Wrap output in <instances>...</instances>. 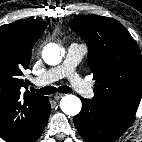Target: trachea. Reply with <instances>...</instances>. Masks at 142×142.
Wrapping results in <instances>:
<instances>
[{
    "label": "trachea",
    "instance_id": "obj_1",
    "mask_svg": "<svg viewBox=\"0 0 142 142\" xmlns=\"http://www.w3.org/2000/svg\"><path fill=\"white\" fill-rule=\"evenodd\" d=\"M30 90L37 92L39 94H44V95L53 94L57 90L60 93H71L72 92V89L69 86H60V87H58V89L53 87V86H46V87H43V88L38 89V90L31 87Z\"/></svg>",
    "mask_w": 142,
    "mask_h": 142
}]
</instances>
